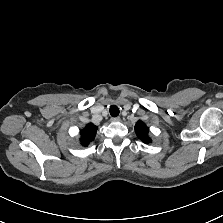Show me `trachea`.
I'll use <instances>...</instances> for the list:
<instances>
[{"label":"trachea","mask_w":223,"mask_h":223,"mask_svg":"<svg viewBox=\"0 0 223 223\" xmlns=\"http://www.w3.org/2000/svg\"><path fill=\"white\" fill-rule=\"evenodd\" d=\"M110 114H111V116H113V117L118 116V115H119V108H118L116 105H112V106L110 107Z\"/></svg>","instance_id":"3493384b"}]
</instances>
